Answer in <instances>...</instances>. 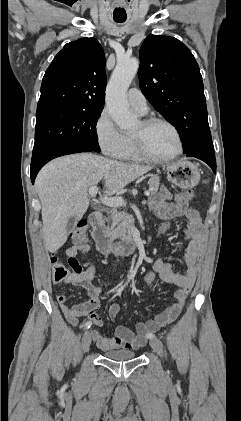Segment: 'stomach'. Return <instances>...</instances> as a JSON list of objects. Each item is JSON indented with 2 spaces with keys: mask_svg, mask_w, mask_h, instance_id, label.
Listing matches in <instances>:
<instances>
[{
  "mask_svg": "<svg viewBox=\"0 0 241 421\" xmlns=\"http://www.w3.org/2000/svg\"><path fill=\"white\" fill-rule=\"evenodd\" d=\"M167 177L175 185L181 188H192L200 180L198 167L192 162L179 160L167 167Z\"/></svg>",
  "mask_w": 241,
  "mask_h": 421,
  "instance_id": "stomach-1",
  "label": "stomach"
}]
</instances>
